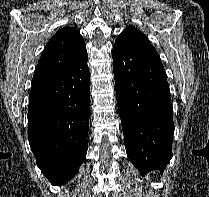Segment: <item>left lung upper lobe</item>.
<instances>
[{"label":"left lung upper lobe","instance_id":"obj_1","mask_svg":"<svg viewBox=\"0 0 209 197\" xmlns=\"http://www.w3.org/2000/svg\"><path fill=\"white\" fill-rule=\"evenodd\" d=\"M116 44L128 45L157 54L147 37L135 27L129 26L119 35Z\"/></svg>","mask_w":209,"mask_h":197}]
</instances>
